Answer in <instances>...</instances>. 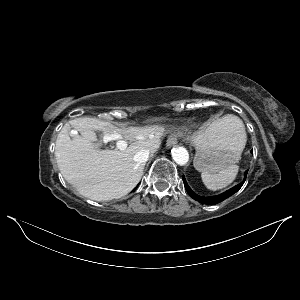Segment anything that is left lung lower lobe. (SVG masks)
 <instances>
[{
	"label": "left lung lower lobe",
	"instance_id": "left-lung-lower-lobe-1",
	"mask_svg": "<svg viewBox=\"0 0 300 300\" xmlns=\"http://www.w3.org/2000/svg\"><path fill=\"white\" fill-rule=\"evenodd\" d=\"M247 172L248 171L245 172L244 180L240 184L236 185L235 187L229 189L228 191H226V192H224L222 194H219V195H216V196H210V197H204V196L197 195L188 186V184H187L184 176L182 177V179H183V182H184L185 189L187 190L188 194L194 200L200 202L201 204L215 205V204H218V203L222 202L223 200L227 199L228 197H230L231 195H233L234 193H236L242 187V185L244 184V182L246 180Z\"/></svg>",
	"mask_w": 300,
	"mask_h": 300
}]
</instances>
